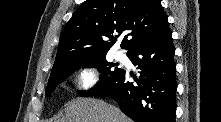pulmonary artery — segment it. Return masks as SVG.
I'll list each match as a JSON object with an SVG mask.
<instances>
[{"label": "pulmonary artery", "instance_id": "obj_1", "mask_svg": "<svg viewBox=\"0 0 221 122\" xmlns=\"http://www.w3.org/2000/svg\"><path fill=\"white\" fill-rule=\"evenodd\" d=\"M115 56L117 59H120V60H123L125 58V54L121 51H118Z\"/></svg>", "mask_w": 221, "mask_h": 122}]
</instances>
